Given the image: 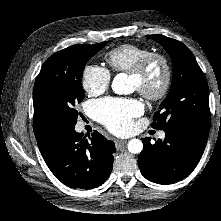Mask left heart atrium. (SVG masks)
<instances>
[{"label": "left heart atrium", "instance_id": "39dd6f15", "mask_svg": "<svg viewBox=\"0 0 221 221\" xmlns=\"http://www.w3.org/2000/svg\"><path fill=\"white\" fill-rule=\"evenodd\" d=\"M143 112V105L136 99H103L94 105V115L113 133L126 135L133 126V118Z\"/></svg>", "mask_w": 221, "mask_h": 221}]
</instances>
